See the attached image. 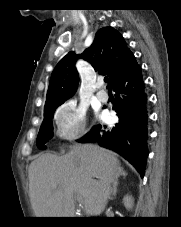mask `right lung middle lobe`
<instances>
[{
	"label": "right lung middle lobe",
	"instance_id": "1",
	"mask_svg": "<svg viewBox=\"0 0 181 227\" xmlns=\"http://www.w3.org/2000/svg\"><path fill=\"white\" fill-rule=\"evenodd\" d=\"M59 105L61 104L53 105L44 109V121L37 137V146L39 149H46L47 146L45 144L53 137L51 117Z\"/></svg>",
	"mask_w": 181,
	"mask_h": 227
}]
</instances>
